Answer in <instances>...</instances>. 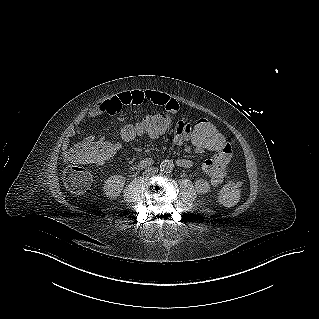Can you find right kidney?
Returning a JSON list of instances; mask_svg holds the SVG:
<instances>
[{"instance_id": "ca27d5eb", "label": "right kidney", "mask_w": 319, "mask_h": 319, "mask_svg": "<svg viewBox=\"0 0 319 319\" xmlns=\"http://www.w3.org/2000/svg\"><path fill=\"white\" fill-rule=\"evenodd\" d=\"M125 184V178L121 175L109 177L104 184L105 195L109 198H116L120 195Z\"/></svg>"}]
</instances>
